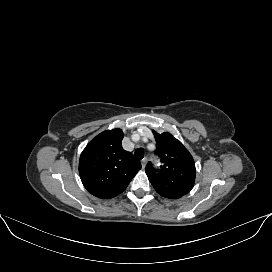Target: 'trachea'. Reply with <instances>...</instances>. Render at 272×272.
I'll return each mask as SVG.
<instances>
[{
  "instance_id": "trachea-1",
  "label": "trachea",
  "mask_w": 272,
  "mask_h": 272,
  "mask_svg": "<svg viewBox=\"0 0 272 272\" xmlns=\"http://www.w3.org/2000/svg\"><path fill=\"white\" fill-rule=\"evenodd\" d=\"M134 156L136 159L141 160L144 157V150L142 148H137L134 152Z\"/></svg>"
}]
</instances>
